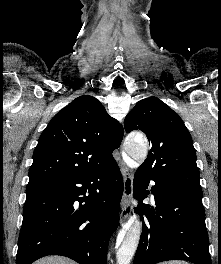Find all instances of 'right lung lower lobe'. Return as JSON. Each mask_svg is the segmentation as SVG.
Masks as SVG:
<instances>
[{
	"instance_id": "obj_1",
	"label": "right lung lower lobe",
	"mask_w": 221,
	"mask_h": 264,
	"mask_svg": "<svg viewBox=\"0 0 221 264\" xmlns=\"http://www.w3.org/2000/svg\"><path fill=\"white\" fill-rule=\"evenodd\" d=\"M123 188L114 158L89 173L28 186L16 264H31L46 255L106 264Z\"/></svg>"
}]
</instances>
